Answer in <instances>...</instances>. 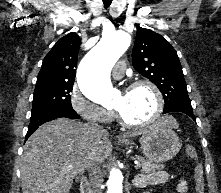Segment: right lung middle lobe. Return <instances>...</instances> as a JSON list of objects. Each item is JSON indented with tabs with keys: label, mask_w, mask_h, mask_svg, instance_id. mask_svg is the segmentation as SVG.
<instances>
[{
	"label": "right lung middle lobe",
	"mask_w": 221,
	"mask_h": 193,
	"mask_svg": "<svg viewBox=\"0 0 221 193\" xmlns=\"http://www.w3.org/2000/svg\"><path fill=\"white\" fill-rule=\"evenodd\" d=\"M74 83L36 85L33 97L32 114L48 109L73 110L70 92Z\"/></svg>",
	"instance_id": "obj_1"
}]
</instances>
